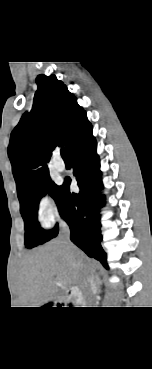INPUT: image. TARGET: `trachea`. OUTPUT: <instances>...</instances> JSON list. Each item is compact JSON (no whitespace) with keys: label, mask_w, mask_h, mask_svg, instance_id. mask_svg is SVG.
<instances>
[{"label":"trachea","mask_w":152,"mask_h":369,"mask_svg":"<svg viewBox=\"0 0 152 369\" xmlns=\"http://www.w3.org/2000/svg\"><path fill=\"white\" fill-rule=\"evenodd\" d=\"M61 156L63 159H69L66 149L64 147L61 148Z\"/></svg>","instance_id":"trachea-1"}]
</instances>
